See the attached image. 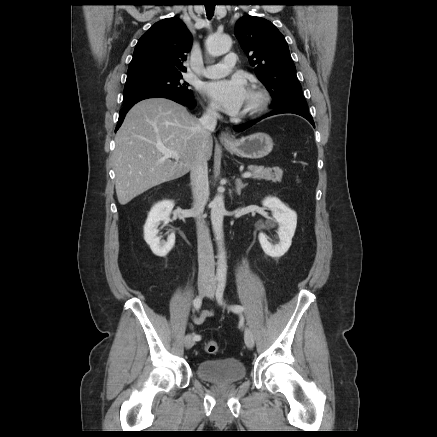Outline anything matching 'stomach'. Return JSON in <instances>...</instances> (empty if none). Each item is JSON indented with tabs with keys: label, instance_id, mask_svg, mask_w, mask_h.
I'll use <instances>...</instances> for the list:
<instances>
[{
	"label": "stomach",
	"instance_id": "obj_1",
	"mask_svg": "<svg viewBox=\"0 0 437 437\" xmlns=\"http://www.w3.org/2000/svg\"><path fill=\"white\" fill-rule=\"evenodd\" d=\"M224 146L230 153L239 157L260 159L272 151L273 140L268 134L257 132L231 142H226Z\"/></svg>",
	"mask_w": 437,
	"mask_h": 437
}]
</instances>
